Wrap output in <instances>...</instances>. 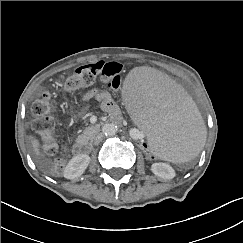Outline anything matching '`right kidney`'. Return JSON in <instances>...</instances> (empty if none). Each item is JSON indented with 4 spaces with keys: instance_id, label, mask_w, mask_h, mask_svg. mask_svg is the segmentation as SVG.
<instances>
[{
    "instance_id": "1",
    "label": "right kidney",
    "mask_w": 243,
    "mask_h": 243,
    "mask_svg": "<svg viewBox=\"0 0 243 243\" xmlns=\"http://www.w3.org/2000/svg\"><path fill=\"white\" fill-rule=\"evenodd\" d=\"M90 157L86 154H81L73 157L67 164L64 177L73 179L81 176L89 165Z\"/></svg>"
}]
</instances>
